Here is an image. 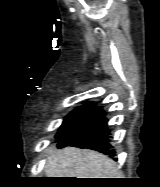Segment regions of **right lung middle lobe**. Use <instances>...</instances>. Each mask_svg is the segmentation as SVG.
Returning a JSON list of instances; mask_svg holds the SVG:
<instances>
[{
	"instance_id": "dd1d6c3e",
	"label": "right lung middle lobe",
	"mask_w": 160,
	"mask_h": 187,
	"mask_svg": "<svg viewBox=\"0 0 160 187\" xmlns=\"http://www.w3.org/2000/svg\"><path fill=\"white\" fill-rule=\"evenodd\" d=\"M96 109L95 106H80L73 110L64 118L63 124L56 135V139L59 141L75 132L93 116Z\"/></svg>"
}]
</instances>
